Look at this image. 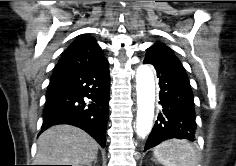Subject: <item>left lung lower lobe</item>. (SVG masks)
<instances>
[{"label": "left lung lower lobe", "instance_id": "1", "mask_svg": "<svg viewBox=\"0 0 236 166\" xmlns=\"http://www.w3.org/2000/svg\"><path fill=\"white\" fill-rule=\"evenodd\" d=\"M144 63L152 64L156 69L161 105L144 151L170 138L195 141L197 125L194 96L181 62L177 58L166 57L157 60L145 59Z\"/></svg>", "mask_w": 236, "mask_h": 166}]
</instances>
